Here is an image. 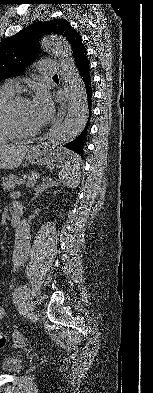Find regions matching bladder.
I'll return each mask as SVG.
<instances>
[{"instance_id": "31cf9c89", "label": "bladder", "mask_w": 153, "mask_h": 393, "mask_svg": "<svg viewBox=\"0 0 153 393\" xmlns=\"http://www.w3.org/2000/svg\"><path fill=\"white\" fill-rule=\"evenodd\" d=\"M1 370L6 374H15L20 368L17 360L12 357L3 362Z\"/></svg>"}]
</instances>
